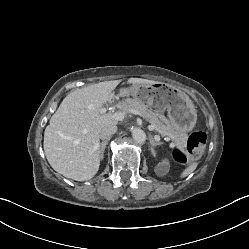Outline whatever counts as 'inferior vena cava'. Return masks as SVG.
I'll return each mask as SVG.
<instances>
[{"label":"inferior vena cava","mask_w":249,"mask_h":249,"mask_svg":"<svg viewBox=\"0 0 249 249\" xmlns=\"http://www.w3.org/2000/svg\"><path fill=\"white\" fill-rule=\"evenodd\" d=\"M117 132V126L114 124H107L103 126L99 132L101 139H109L113 134Z\"/></svg>","instance_id":"1"}]
</instances>
